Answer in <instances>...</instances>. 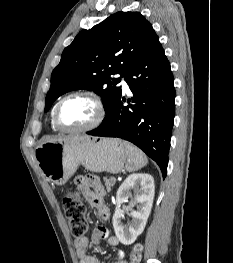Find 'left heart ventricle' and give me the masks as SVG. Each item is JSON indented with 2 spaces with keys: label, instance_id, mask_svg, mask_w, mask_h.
<instances>
[{
  "label": "left heart ventricle",
  "instance_id": "obj_1",
  "mask_svg": "<svg viewBox=\"0 0 233 263\" xmlns=\"http://www.w3.org/2000/svg\"><path fill=\"white\" fill-rule=\"evenodd\" d=\"M95 104L86 97H73L65 101L59 112L63 126L77 129L91 123L96 116Z\"/></svg>",
  "mask_w": 233,
  "mask_h": 263
}]
</instances>
